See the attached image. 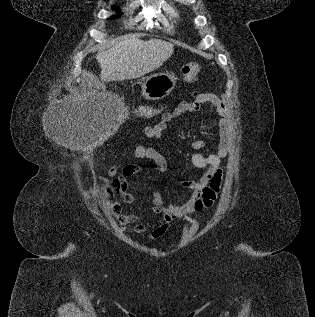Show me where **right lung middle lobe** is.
<instances>
[{
	"label": "right lung middle lobe",
	"mask_w": 315,
	"mask_h": 317,
	"mask_svg": "<svg viewBox=\"0 0 315 317\" xmlns=\"http://www.w3.org/2000/svg\"><path fill=\"white\" fill-rule=\"evenodd\" d=\"M113 9L118 12V9L116 7H114ZM120 16H121V14L119 13L118 15L113 16L111 19L119 18Z\"/></svg>",
	"instance_id": "right-lung-middle-lobe-1"
}]
</instances>
